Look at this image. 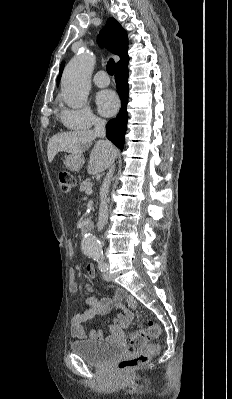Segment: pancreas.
I'll return each instance as SVG.
<instances>
[{"label":"pancreas","instance_id":"cf45deb5","mask_svg":"<svg viewBox=\"0 0 232 399\" xmlns=\"http://www.w3.org/2000/svg\"><path fill=\"white\" fill-rule=\"evenodd\" d=\"M94 184L92 180H84L82 184H80V192H86V190H92Z\"/></svg>","mask_w":232,"mask_h":399}]
</instances>
